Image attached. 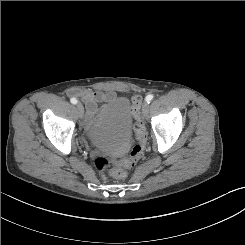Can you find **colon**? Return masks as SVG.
Masks as SVG:
<instances>
[{
	"label": "colon",
	"mask_w": 245,
	"mask_h": 245,
	"mask_svg": "<svg viewBox=\"0 0 245 245\" xmlns=\"http://www.w3.org/2000/svg\"><path fill=\"white\" fill-rule=\"evenodd\" d=\"M142 99L140 96H134L131 99V112L134 116V130L137 136V143L130 151L128 158L117 163L111 162L108 158L95 154L94 163L98 171L103 175H110L115 178L123 179L127 176V170L133 168L143 157L147 142V132L145 122L141 114Z\"/></svg>",
	"instance_id": "1"
}]
</instances>
